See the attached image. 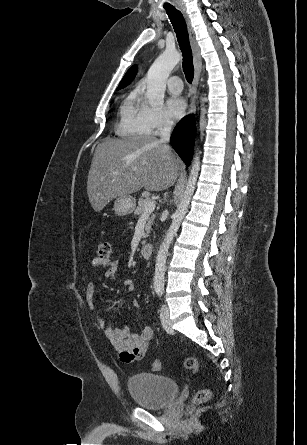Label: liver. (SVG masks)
I'll return each instance as SVG.
<instances>
[{
  "mask_svg": "<svg viewBox=\"0 0 307 445\" xmlns=\"http://www.w3.org/2000/svg\"><path fill=\"white\" fill-rule=\"evenodd\" d=\"M116 170L120 174H112ZM179 170V158L153 134L123 140L107 136L95 148L87 178L88 198L100 212L116 196H131L142 186L165 190L174 184Z\"/></svg>",
  "mask_w": 307,
  "mask_h": 445,
  "instance_id": "6515ba94",
  "label": "liver"
}]
</instances>
